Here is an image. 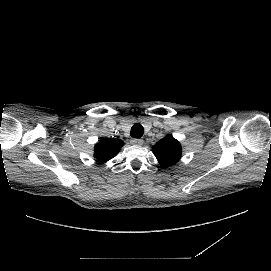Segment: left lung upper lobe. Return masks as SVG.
<instances>
[{"label": "left lung upper lobe", "mask_w": 271, "mask_h": 271, "mask_svg": "<svg viewBox=\"0 0 271 271\" xmlns=\"http://www.w3.org/2000/svg\"><path fill=\"white\" fill-rule=\"evenodd\" d=\"M153 152L159 163L168 167L180 159L181 146L171 135H167L153 146Z\"/></svg>", "instance_id": "left-lung-upper-lobe-1"}]
</instances>
